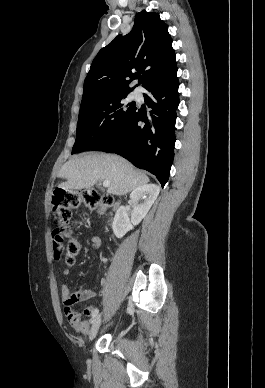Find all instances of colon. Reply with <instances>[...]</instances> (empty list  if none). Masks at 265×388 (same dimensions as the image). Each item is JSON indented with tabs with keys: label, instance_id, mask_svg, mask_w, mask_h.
I'll return each instance as SVG.
<instances>
[{
	"label": "colon",
	"instance_id": "5ec220e1",
	"mask_svg": "<svg viewBox=\"0 0 265 388\" xmlns=\"http://www.w3.org/2000/svg\"><path fill=\"white\" fill-rule=\"evenodd\" d=\"M110 204L111 199L109 197L102 196L93 189L67 191L58 188L54 191L52 215L57 227L52 233V242L54 256L57 260H64L65 263L70 265L81 250L80 242L72 237L70 226L72 210L80 205H85L90 209L103 213ZM67 317L71 323H77L79 320L77 313H68Z\"/></svg>",
	"mask_w": 265,
	"mask_h": 388
}]
</instances>
